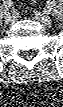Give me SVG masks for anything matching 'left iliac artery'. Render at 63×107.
<instances>
[{
  "label": "left iliac artery",
  "instance_id": "1",
  "mask_svg": "<svg viewBox=\"0 0 63 107\" xmlns=\"http://www.w3.org/2000/svg\"><path fill=\"white\" fill-rule=\"evenodd\" d=\"M52 2H50V1H47V8L49 9V11L52 9Z\"/></svg>",
  "mask_w": 63,
  "mask_h": 107
}]
</instances>
